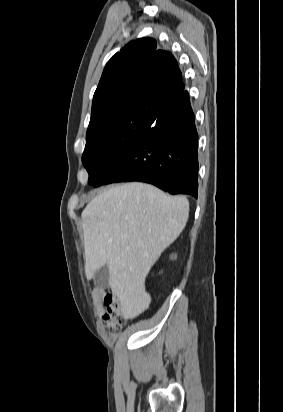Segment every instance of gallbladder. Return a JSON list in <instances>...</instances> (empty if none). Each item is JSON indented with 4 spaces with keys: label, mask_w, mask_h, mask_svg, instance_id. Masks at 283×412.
Returning a JSON list of instances; mask_svg holds the SVG:
<instances>
[{
    "label": "gallbladder",
    "mask_w": 283,
    "mask_h": 412,
    "mask_svg": "<svg viewBox=\"0 0 283 412\" xmlns=\"http://www.w3.org/2000/svg\"><path fill=\"white\" fill-rule=\"evenodd\" d=\"M93 281L98 288L104 289L107 287L109 282V269L106 264L94 273Z\"/></svg>",
    "instance_id": "gallbladder-1"
}]
</instances>
